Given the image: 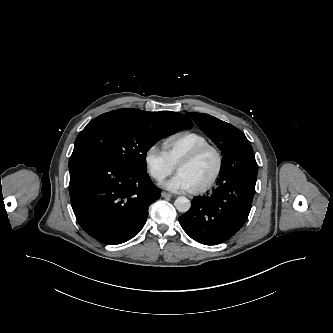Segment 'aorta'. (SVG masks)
<instances>
[{"label": "aorta", "mask_w": 333, "mask_h": 333, "mask_svg": "<svg viewBox=\"0 0 333 333\" xmlns=\"http://www.w3.org/2000/svg\"><path fill=\"white\" fill-rule=\"evenodd\" d=\"M174 205L179 212L185 213L190 209L191 202L186 197L181 196L175 200Z\"/></svg>", "instance_id": "obj_1"}]
</instances>
